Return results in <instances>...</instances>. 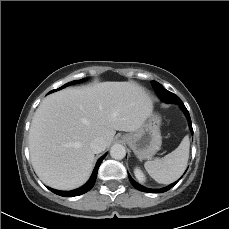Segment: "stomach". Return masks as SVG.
Returning a JSON list of instances; mask_svg holds the SVG:
<instances>
[{
  "mask_svg": "<svg viewBox=\"0 0 229 229\" xmlns=\"http://www.w3.org/2000/svg\"><path fill=\"white\" fill-rule=\"evenodd\" d=\"M160 123V116L151 114L137 131L123 135L122 139L139 160L151 159L160 149L162 144Z\"/></svg>",
  "mask_w": 229,
  "mask_h": 229,
  "instance_id": "1",
  "label": "stomach"
}]
</instances>
